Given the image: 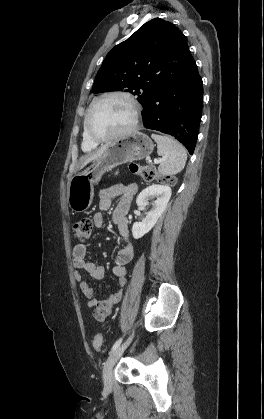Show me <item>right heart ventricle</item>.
I'll return each instance as SVG.
<instances>
[{
	"label": "right heart ventricle",
	"instance_id": "right-heart-ventricle-1",
	"mask_svg": "<svg viewBox=\"0 0 264 419\" xmlns=\"http://www.w3.org/2000/svg\"><path fill=\"white\" fill-rule=\"evenodd\" d=\"M82 149L85 152H90L94 150L97 147V144L92 142L86 135L85 130L83 129L82 133V143H81Z\"/></svg>",
	"mask_w": 264,
	"mask_h": 419
}]
</instances>
